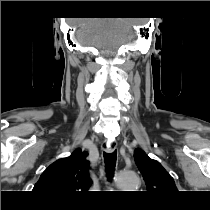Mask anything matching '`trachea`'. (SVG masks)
<instances>
[{"mask_svg":"<svg viewBox=\"0 0 210 210\" xmlns=\"http://www.w3.org/2000/svg\"><path fill=\"white\" fill-rule=\"evenodd\" d=\"M116 159H117V150L111 153H104V160H105V165H106V176L108 180H111L114 176Z\"/></svg>","mask_w":210,"mask_h":210,"instance_id":"1","label":"trachea"}]
</instances>
